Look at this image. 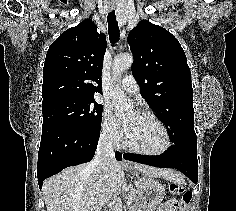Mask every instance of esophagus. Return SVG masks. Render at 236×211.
Listing matches in <instances>:
<instances>
[{
	"mask_svg": "<svg viewBox=\"0 0 236 211\" xmlns=\"http://www.w3.org/2000/svg\"><path fill=\"white\" fill-rule=\"evenodd\" d=\"M122 166H124V167H132V164L127 162V161H125V160H123Z\"/></svg>",
	"mask_w": 236,
	"mask_h": 211,
	"instance_id": "34e87169",
	"label": "esophagus"
}]
</instances>
